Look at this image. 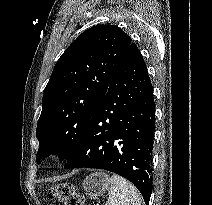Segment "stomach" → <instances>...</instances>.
Listing matches in <instances>:
<instances>
[{
	"instance_id": "stomach-1",
	"label": "stomach",
	"mask_w": 212,
	"mask_h": 205,
	"mask_svg": "<svg viewBox=\"0 0 212 205\" xmlns=\"http://www.w3.org/2000/svg\"><path fill=\"white\" fill-rule=\"evenodd\" d=\"M83 189L91 198H99L109 189V178L104 172H96L87 176L83 181Z\"/></svg>"
}]
</instances>
